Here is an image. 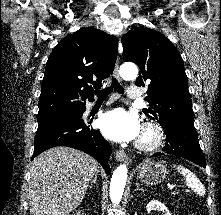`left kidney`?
<instances>
[{
    "mask_svg": "<svg viewBox=\"0 0 221 215\" xmlns=\"http://www.w3.org/2000/svg\"><path fill=\"white\" fill-rule=\"evenodd\" d=\"M146 208L147 212H150L152 210H158L162 212V215H171L167 207L158 200H152L147 204Z\"/></svg>",
    "mask_w": 221,
    "mask_h": 215,
    "instance_id": "1",
    "label": "left kidney"
}]
</instances>
